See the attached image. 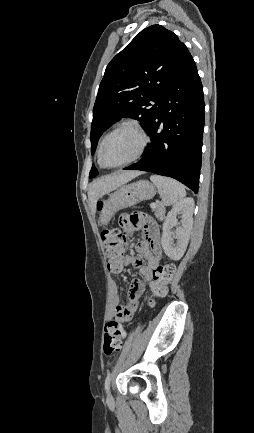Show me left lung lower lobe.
Instances as JSON below:
<instances>
[{
	"label": "left lung lower lobe",
	"mask_w": 254,
	"mask_h": 433,
	"mask_svg": "<svg viewBox=\"0 0 254 433\" xmlns=\"http://www.w3.org/2000/svg\"><path fill=\"white\" fill-rule=\"evenodd\" d=\"M205 103L195 62L184 56L168 84L146 133L151 144L125 170L172 177L198 192Z\"/></svg>",
	"instance_id": "0a47b994"
}]
</instances>
